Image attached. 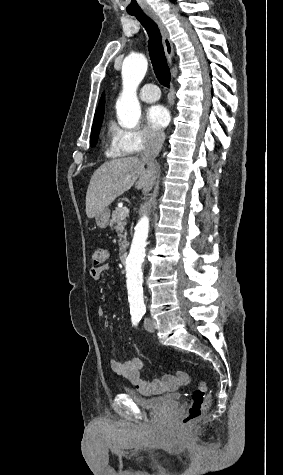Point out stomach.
<instances>
[{
  "instance_id": "0dacf381",
  "label": "stomach",
  "mask_w": 283,
  "mask_h": 475,
  "mask_svg": "<svg viewBox=\"0 0 283 475\" xmlns=\"http://www.w3.org/2000/svg\"><path fill=\"white\" fill-rule=\"evenodd\" d=\"M109 218H110V210L109 208H104L102 212H99V214L95 216L97 226H99V228H107L109 224Z\"/></svg>"
}]
</instances>
